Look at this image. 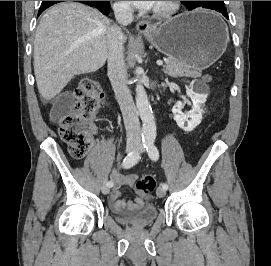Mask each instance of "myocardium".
I'll return each instance as SVG.
<instances>
[{"label": "myocardium", "instance_id": "1", "mask_svg": "<svg viewBox=\"0 0 271 266\" xmlns=\"http://www.w3.org/2000/svg\"><path fill=\"white\" fill-rule=\"evenodd\" d=\"M178 3L179 1H161L155 9L154 15L158 18H168L177 12Z\"/></svg>", "mask_w": 271, "mask_h": 266}]
</instances>
